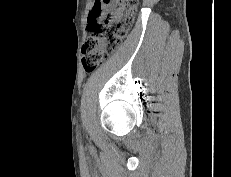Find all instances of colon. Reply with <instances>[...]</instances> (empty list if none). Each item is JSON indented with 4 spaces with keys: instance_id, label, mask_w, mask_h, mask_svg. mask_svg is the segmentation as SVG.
<instances>
[{
    "instance_id": "obj_1",
    "label": "colon",
    "mask_w": 231,
    "mask_h": 177,
    "mask_svg": "<svg viewBox=\"0 0 231 177\" xmlns=\"http://www.w3.org/2000/svg\"><path fill=\"white\" fill-rule=\"evenodd\" d=\"M116 3L117 8L99 21L101 5ZM138 0H97L88 19L89 36L82 49V64L86 72L95 70L118 47L129 30Z\"/></svg>"
}]
</instances>
